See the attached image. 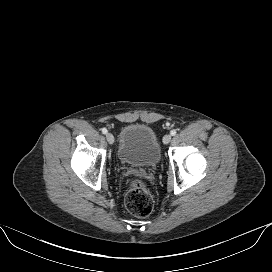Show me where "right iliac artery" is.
<instances>
[{"label": "right iliac artery", "mask_w": 272, "mask_h": 272, "mask_svg": "<svg viewBox=\"0 0 272 272\" xmlns=\"http://www.w3.org/2000/svg\"><path fill=\"white\" fill-rule=\"evenodd\" d=\"M107 132H108V131H107L106 128H102V133H103V134H107Z\"/></svg>", "instance_id": "82829eb1"}]
</instances>
